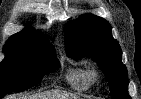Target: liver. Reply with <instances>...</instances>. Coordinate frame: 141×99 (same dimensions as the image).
I'll use <instances>...</instances> for the list:
<instances>
[{"label": "liver", "mask_w": 141, "mask_h": 99, "mask_svg": "<svg viewBox=\"0 0 141 99\" xmlns=\"http://www.w3.org/2000/svg\"><path fill=\"white\" fill-rule=\"evenodd\" d=\"M28 99H79V97L67 92L51 90L30 96Z\"/></svg>", "instance_id": "obj_1"}]
</instances>
